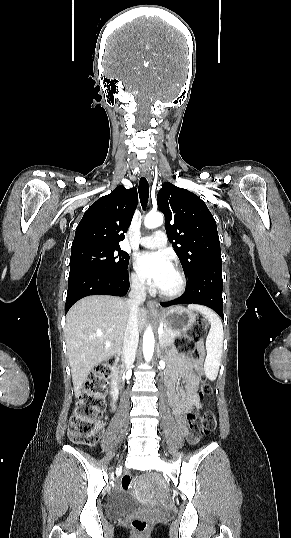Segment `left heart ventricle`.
<instances>
[{"mask_svg":"<svg viewBox=\"0 0 291 538\" xmlns=\"http://www.w3.org/2000/svg\"><path fill=\"white\" fill-rule=\"evenodd\" d=\"M178 283H179L178 276L174 272V270L172 269L166 275L163 283L161 284V286L159 288L162 289V290H165V291H171V290H174L178 286Z\"/></svg>","mask_w":291,"mask_h":538,"instance_id":"1","label":"left heart ventricle"}]
</instances>
